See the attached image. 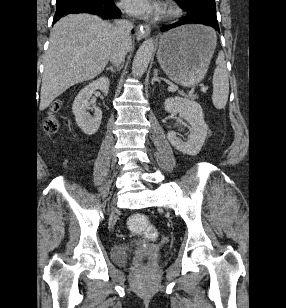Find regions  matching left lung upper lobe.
Listing matches in <instances>:
<instances>
[{"label": "left lung upper lobe", "mask_w": 286, "mask_h": 308, "mask_svg": "<svg viewBox=\"0 0 286 308\" xmlns=\"http://www.w3.org/2000/svg\"><path fill=\"white\" fill-rule=\"evenodd\" d=\"M176 1H182V2H185V3H189V2H193V1H199V0H176ZM200 1H214V0H200Z\"/></svg>", "instance_id": "5c2ea615"}]
</instances>
